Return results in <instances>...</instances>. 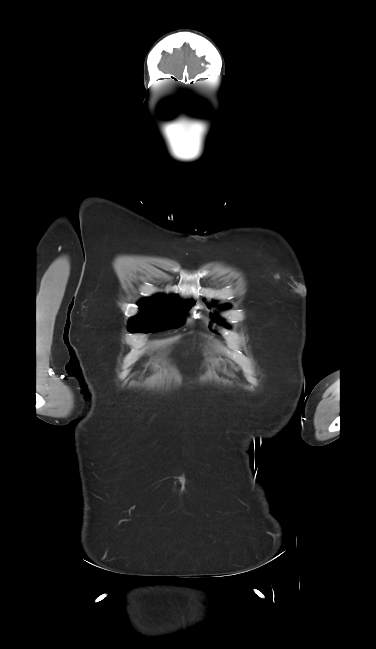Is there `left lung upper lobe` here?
Here are the masks:
<instances>
[{
	"mask_svg": "<svg viewBox=\"0 0 376 649\" xmlns=\"http://www.w3.org/2000/svg\"><path fill=\"white\" fill-rule=\"evenodd\" d=\"M227 307H228V305L225 304V305H222L220 308H221V309H225V308H227ZM214 332H215V331H214Z\"/></svg>",
	"mask_w": 376,
	"mask_h": 649,
	"instance_id": "1",
	"label": "left lung upper lobe"
}]
</instances>
